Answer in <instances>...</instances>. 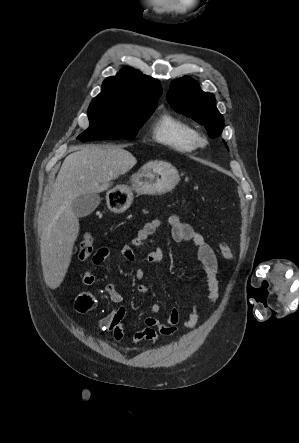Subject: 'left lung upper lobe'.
<instances>
[{"mask_svg": "<svg viewBox=\"0 0 299 443\" xmlns=\"http://www.w3.org/2000/svg\"><path fill=\"white\" fill-rule=\"evenodd\" d=\"M167 101L176 111L205 126L210 138L221 134L224 119L215 105L213 94L203 92L188 76L171 83Z\"/></svg>", "mask_w": 299, "mask_h": 443, "instance_id": "obj_1", "label": "left lung upper lobe"}]
</instances>
